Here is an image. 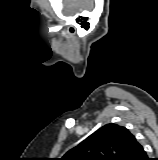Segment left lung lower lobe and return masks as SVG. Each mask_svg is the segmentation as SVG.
Instances as JSON below:
<instances>
[{"label": "left lung lower lobe", "instance_id": "left-lung-lower-lobe-1", "mask_svg": "<svg viewBox=\"0 0 158 160\" xmlns=\"http://www.w3.org/2000/svg\"><path fill=\"white\" fill-rule=\"evenodd\" d=\"M127 160H149L142 145L137 140Z\"/></svg>", "mask_w": 158, "mask_h": 160}]
</instances>
